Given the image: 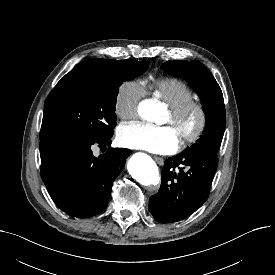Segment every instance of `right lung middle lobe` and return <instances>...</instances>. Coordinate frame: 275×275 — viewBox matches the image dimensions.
<instances>
[{"mask_svg": "<svg viewBox=\"0 0 275 275\" xmlns=\"http://www.w3.org/2000/svg\"><path fill=\"white\" fill-rule=\"evenodd\" d=\"M148 61L115 60L105 69L70 71L44 103L40 150L56 144L112 137L120 85L148 69Z\"/></svg>", "mask_w": 275, "mask_h": 275, "instance_id": "1", "label": "right lung middle lobe"}]
</instances>
